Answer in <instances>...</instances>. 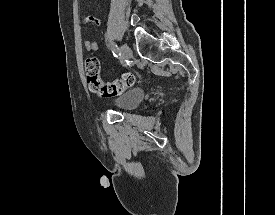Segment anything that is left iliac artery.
<instances>
[{
  "mask_svg": "<svg viewBox=\"0 0 275 215\" xmlns=\"http://www.w3.org/2000/svg\"><path fill=\"white\" fill-rule=\"evenodd\" d=\"M110 48H111V50H112V52H113V55H114L115 57H118V56L120 55L119 49H118V47H117L116 44L110 43Z\"/></svg>",
  "mask_w": 275,
  "mask_h": 215,
  "instance_id": "1",
  "label": "left iliac artery"
}]
</instances>
